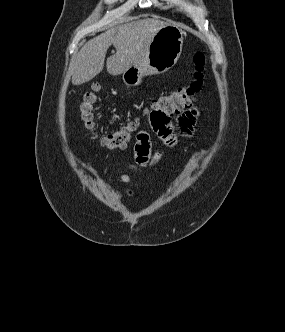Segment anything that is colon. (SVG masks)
Returning a JSON list of instances; mask_svg holds the SVG:
<instances>
[{"label": "colon", "mask_w": 285, "mask_h": 332, "mask_svg": "<svg viewBox=\"0 0 285 332\" xmlns=\"http://www.w3.org/2000/svg\"><path fill=\"white\" fill-rule=\"evenodd\" d=\"M194 81L185 87L173 90L157 98L148 108V111H157L158 107H166L167 111H176V115L191 107L204 86L205 56L201 52L194 55ZM99 85L93 84L81 98L79 104L80 119L84 127L96 134L94 107L97 101ZM138 121H130L122 127L107 133L100 138L103 147L116 150L125 148L138 128Z\"/></svg>", "instance_id": "obj_1"}]
</instances>
